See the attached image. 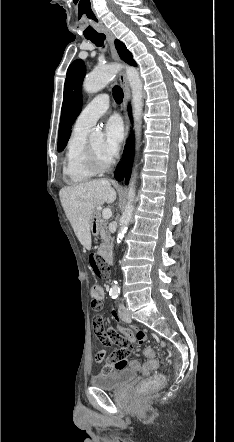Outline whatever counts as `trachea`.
<instances>
[{
    "instance_id": "trachea-1",
    "label": "trachea",
    "mask_w": 234,
    "mask_h": 442,
    "mask_svg": "<svg viewBox=\"0 0 234 442\" xmlns=\"http://www.w3.org/2000/svg\"><path fill=\"white\" fill-rule=\"evenodd\" d=\"M87 39L94 43L97 47H102L104 45V40L106 39V36L104 34H99ZM113 97L117 103H121L123 101V91L120 86L115 85L113 87Z\"/></svg>"
}]
</instances>
